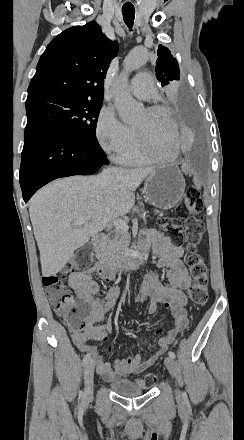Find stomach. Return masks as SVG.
Wrapping results in <instances>:
<instances>
[{
    "label": "stomach",
    "mask_w": 244,
    "mask_h": 440,
    "mask_svg": "<svg viewBox=\"0 0 244 440\" xmlns=\"http://www.w3.org/2000/svg\"><path fill=\"white\" fill-rule=\"evenodd\" d=\"M186 184L180 168L175 164L159 166L150 174L144 186V194L151 206L170 210L182 200Z\"/></svg>",
    "instance_id": "obj_1"
}]
</instances>
